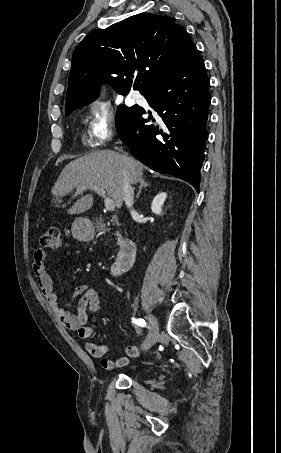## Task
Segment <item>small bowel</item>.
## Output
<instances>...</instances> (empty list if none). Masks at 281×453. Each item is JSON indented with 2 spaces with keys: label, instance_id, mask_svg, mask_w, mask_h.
<instances>
[{
  "label": "small bowel",
  "instance_id": "small-bowel-1",
  "mask_svg": "<svg viewBox=\"0 0 281 453\" xmlns=\"http://www.w3.org/2000/svg\"><path fill=\"white\" fill-rule=\"evenodd\" d=\"M50 261V254L44 249H38L33 255L32 270L37 285L46 299L49 307L54 310L61 321L68 329L75 331L78 336L88 340L94 330L98 328L97 314L101 302L98 291L89 284H79L71 289L67 301H78L77 314L70 313L68 306L60 304L57 294L53 291L52 280L47 272V264ZM85 349L88 354L100 361L102 367L107 371H114L129 362L128 356L140 354L137 346H128L124 350L127 356L112 359L107 354V348L93 342H87Z\"/></svg>",
  "mask_w": 281,
  "mask_h": 453
}]
</instances>
